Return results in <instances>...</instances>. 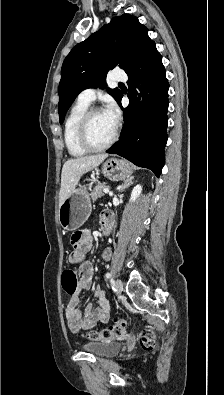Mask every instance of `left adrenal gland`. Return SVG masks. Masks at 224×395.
Masks as SVG:
<instances>
[{
	"label": "left adrenal gland",
	"mask_w": 224,
	"mask_h": 395,
	"mask_svg": "<svg viewBox=\"0 0 224 395\" xmlns=\"http://www.w3.org/2000/svg\"><path fill=\"white\" fill-rule=\"evenodd\" d=\"M134 176L128 177L127 179L124 180L123 184L118 187L119 192L124 191L127 187L133 184Z\"/></svg>",
	"instance_id": "a2214340"
}]
</instances>
